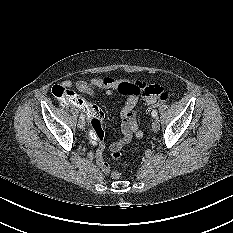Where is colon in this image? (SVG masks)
<instances>
[{"instance_id": "1", "label": "colon", "mask_w": 233, "mask_h": 233, "mask_svg": "<svg viewBox=\"0 0 233 233\" xmlns=\"http://www.w3.org/2000/svg\"><path fill=\"white\" fill-rule=\"evenodd\" d=\"M145 94L148 96L156 97V100L149 104L150 108L158 105L160 103L166 102L169 100L170 96L167 92H164L159 85H151L145 88ZM52 93L55 97L60 99V106L62 108L74 107L83 113H86L90 117L91 127H86L83 130V136L88 145L92 147H97L101 143L104 131H103V120L104 115L100 108L96 105H93L90 101H87L85 98L80 97L79 94L74 93L72 90L67 89L61 85H55L52 88ZM114 158H120V151L112 153ZM120 174L117 171L113 172L114 178H119Z\"/></svg>"}]
</instances>
